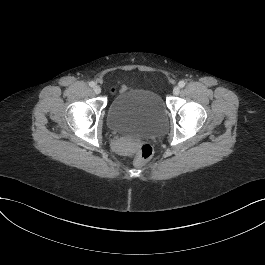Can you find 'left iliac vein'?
<instances>
[{
    "label": "left iliac vein",
    "instance_id": "1",
    "mask_svg": "<svg viewBox=\"0 0 265 265\" xmlns=\"http://www.w3.org/2000/svg\"><path fill=\"white\" fill-rule=\"evenodd\" d=\"M180 93V87L179 86H175L174 88H173V94L174 95H178Z\"/></svg>",
    "mask_w": 265,
    "mask_h": 265
}]
</instances>
